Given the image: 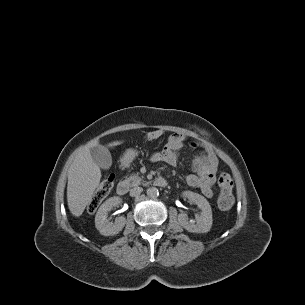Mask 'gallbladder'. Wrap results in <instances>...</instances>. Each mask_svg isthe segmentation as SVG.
<instances>
[{
  "instance_id": "obj_1",
  "label": "gallbladder",
  "mask_w": 305,
  "mask_h": 305,
  "mask_svg": "<svg viewBox=\"0 0 305 305\" xmlns=\"http://www.w3.org/2000/svg\"><path fill=\"white\" fill-rule=\"evenodd\" d=\"M90 153L93 161L102 169H109L112 165V157L109 150L102 146L97 145L90 148Z\"/></svg>"
}]
</instances>
